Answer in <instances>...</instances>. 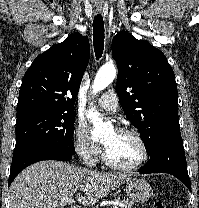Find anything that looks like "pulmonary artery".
<instances>
[{
    "label": "pulmonary artery",
    "mask_w": 199,
    "mask_h": 208,
    "mask_svg": "<svg viewBox=\"0 0 199 208\" xmlns=\"http://www.w3.org/2000/svg\"><path fill=\"white\" fill-rule=\"evenodd\" d=\"M96 104L109 112H115L118 107L117 93L110 89L107 90L96 100Z\"/></svg>",
    "instance_id": "e3ab8cb5"
}]
</instances>
